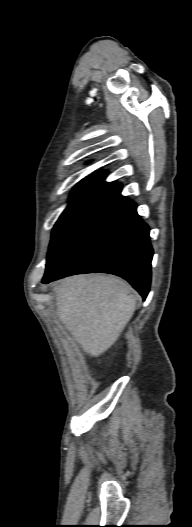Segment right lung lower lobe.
Wrapping results in <instances>:
<instances>
[{"label":"right lung lower lobe","instance_id":"right-lung-lower-lobe-1","mask_svg":"<svg viewBox=\"0 0 192 527\" xmlns=\"http://www.w3.org/2000/svg\"><path fill=\"white\" fill-rule=\"evenodd\" d=\"M121 185L105 183L48 253L42 283L65 276L102 272L126 279L146 298L153 249L149 227Z\"/></svg>","mask_w":192,"mask_h":527}]
</instances>
